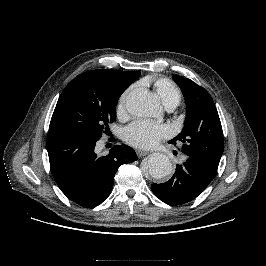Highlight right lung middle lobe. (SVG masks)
Returning <instances> with one entry per match:
<instances>
[{"label":"right lung middle lobe","mask_w":266,"mask_h":266,"mask_svg":"<svg viewBox=\"0 0 266 266\" xmlns=\"http://www.w3.org/2000/svg\"><path fill=\"white\" fill-rule=\"evenodd\" d=\"M129 85L111 76L78 75L60 95L49 132H68L99 140L115 120L117 101Z\"/></svg>","instance_id":"right-lung-middle-lobe-1"}]
</instances>
